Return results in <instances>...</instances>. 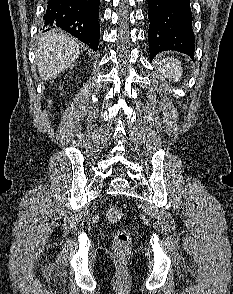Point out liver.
I'll return each mask as SVG.
<instances>
[{"instance_id":"liver-1","label":"liver","mask_w":233,"mask_h":294,"mask_svg":"<svg viewBox=\"0 0 233 294\" xmlns=\"http://www.w3.org/2000/svg\"><path fill=\"white\" fill-rule=\"evenodd\" d=\"M79 53V44L69 36L57 31L43 34L35 49V62L42 80L51 79L67 70Z\"/></svg>"}]
</instances>
